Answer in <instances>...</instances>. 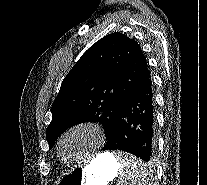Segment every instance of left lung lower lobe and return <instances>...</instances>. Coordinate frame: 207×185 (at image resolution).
Segmentation results:
<instances>
[{"mask_svg": "<svg viewBox=\"0 0 207 185\" xmlns=\"http://www.w3.org/2000/svg\"><path fill=\"white\" fill-rule=\"evenodd\" d=\"M154 102L150 78L119 109L102 150H121L148 162L154 154Z\"/></svg>", "mask_w": 207, "mask_h": 185, "instance_id": "0a47b994", "label": "left lung lower lobe"}]
</instances>
